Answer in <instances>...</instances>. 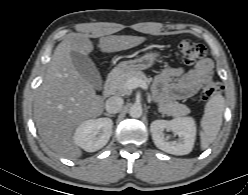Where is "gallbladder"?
Instances as JSON below:
<instances>
[{
  "label": "gallbladder",
  "mask_w": 248,
  "mask_h": 195,
  "mask_svg": "<svg viewBox=\"0 0 248 195\" xmlns=\"http://www.w3.org/2000/svg\"><path fill=\"white\" fill-rule=\"evenodd\" d=\"M71 58L77 72L96 89H101V75L93 61L88 56L74 51L71 52Z\"/></svg>",
  "instance_id": "1"
}]
</instances>
